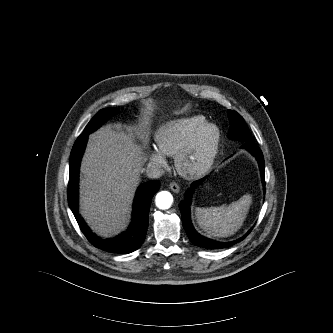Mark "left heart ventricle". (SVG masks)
<instances>
[{
	"mask_svg": "<svg viewBox=\"0 0 333 333\" xmlns=\"http://www.w3.org/2000/svg\"><path fill=\"white\" fill-rule=\"evenodd\" d=\"M211 137V132H208L202 139L199 150L197 151V156H199L203 150L207 147Z\"/></svg>",
	"mask_w": 333,
	"mask_h": 333,
	"instance_id": "b2bd125f",
	"label": "left heart ventricle"
}]
</instances>
